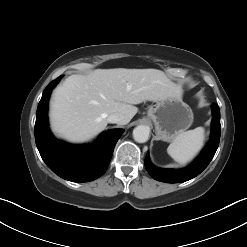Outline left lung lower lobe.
<instances>
[{
  "label": "left lung lower lobe",
  "mask_w": 247,
  "mask_h": 247,
  "mask_svg": "<svg viewBox=\"0 0 247 247\" xmlns=\"http://www.w3.org/2000/svg\"><path fill=\"white\" fill-rule=\"evenodd\" d=\"M212 113L213 119L210 141L200 156L188 167L179 170L158 168L151 163L149 154L147 153L145 157V167L152 178L166 183L185 182L199 175L208 166L218 148L221 132L220 110L215 103L212 104Z\"/></svg>",
  "instance_id": "obj_1"
}]
</instances>
